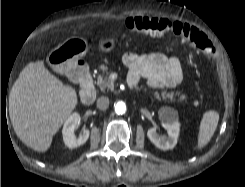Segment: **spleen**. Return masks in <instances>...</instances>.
<instances>
[{
    "label": "spleen",
    "mask_w": 245,
    "mask_h": 187,
    "mask_svg": "<svg viewBox=\"0 0 245 187\" xmlns=\"http://www.w3.org/2000/svg\"><path fill=\"white\" fill-rule=\"evenodd\" d=\"M219 121V113L210 110L203 114L199 127L197 148L202 149L211 140Z\"/></svg>",
    "instance_id": "obj_1"
}]
</instances>
